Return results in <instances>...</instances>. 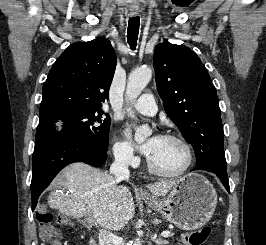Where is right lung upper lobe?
<instances>
[{"instance_id": "cb5924a9", "label": "right lung upper lobe", "mask_w": 266, "mask_h": 245, "mask_svg": "<svg viewBox=\"0 0 266 245\" xmlns=\"http://www.w3.org/2000/svg\"><path fill=\"white\" fill-rule=\"evenodd\" d=\"M116 56L105 37L70 45L43 85L40 121L69 110L100 108L108 100Z\"/></svg>"}]
</instances>
